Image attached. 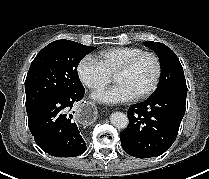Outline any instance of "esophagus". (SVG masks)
Returning a JSON list of instances; mask_svg holds the SVG:
<instances>
[{
  "instance_id": "1",
  "label": "esophagus",
  "mask_w": 209,
  "mask_h": 179,
  "mask_svg": "<svg viewBox=\"0 0 209 179\" xmlns=\"http://www.w3.org/2000/svg\"><path fill=\"white\" fill-rule=\"evenodd\" d=\"M73 113L78 121L86 123L94 118L96 110L91 102L80 101L75 105Z\"/></svg>"
}]
</instances>
